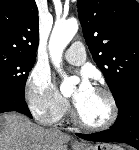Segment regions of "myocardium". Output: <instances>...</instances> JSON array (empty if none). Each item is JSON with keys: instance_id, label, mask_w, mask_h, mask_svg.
Instances as JSON below:
<instances>
[{"instance_id": "f54148a6", "label": "myocardium", "mask_w": 139, "mask_h": 150, "mask_svg": "<svg viewBox=\"0 0 139 150\" xmlns=\"http://www.w3.org/2000/svg\"><path fill=\"white\" fill-rule=\"evenodd\" d=\"M93 89L106 96L108 103H109V107H110V115L108 119L103 124H100V125L88 124L85 121H83V119L81 118L79 114L76 104L73 103V108H72L73 121L80 128L88 130V131H94V132L105 131L111 128L118 119V115H119L118 103H117L115 95L106 87L95 86Z\"/></svg>"}]
</instances>
